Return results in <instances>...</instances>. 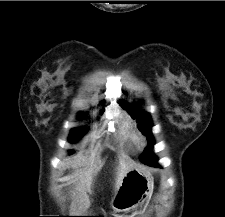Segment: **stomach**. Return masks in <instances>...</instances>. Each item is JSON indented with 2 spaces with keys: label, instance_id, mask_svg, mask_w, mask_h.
Segmentation results:
<instances>
[{
  "label": "stomach",
  "instance_id": "stomach-1",
  "mask_svg": "<svg viewBox=\"0 0 225 217\" xmlns=\"http://www.w3.org/2000/svg\"><path fill=\"white\" fill-rule=\"evenodd\" d=\"M149 178L144 170L139 168H131L123 178L120 188L128 189L138 186H148Z\"/></svg>",
  "mask_w": 225,
  "mask_h": 217
}]
</instances>
